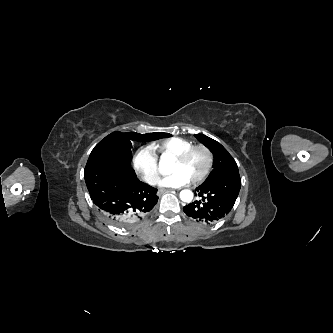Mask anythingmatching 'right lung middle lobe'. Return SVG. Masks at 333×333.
<instances>
[{"label": "right lung middle lobe", "mask_w": 333, "mask_h": 333, "mask_svg": "<svg viewBox=\"0 0 333 333\" xmlns=\"http://www.w3.org/2000/svg\"><path fill=\"white\" fill-rule=\"evenodd\" d=\"M167 134L152 135L147 133L142 135L134 132L121 133L115 131L94 147L88 161L92 159H108L130 165L132 155L131 140H157Z\"/></svg>", "instance_id": "1"}]
</instances>
